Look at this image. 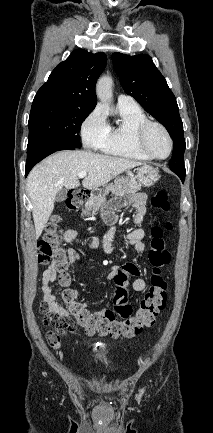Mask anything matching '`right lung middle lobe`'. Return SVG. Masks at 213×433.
Masks as SVG:
<instances>
[{"mask_svg": "<svg viewBox=\"0 0 213 433\" xmlns=\"http://www.w3.org/2000/svg\"><path fill=\"white\" fill-rule=\"evenodd\" d=\"M92 110L93 108L80 104L34 100L29 116L28 142L47 137L80 148L78 133L83 120Z\"/></svg>", "mask_w": 213, "mask_h": 433, "instance_id": "dd1d6c3e", "label": "right lung middle lobe"}]
</instances>
